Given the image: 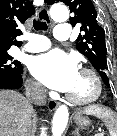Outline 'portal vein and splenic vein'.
Segmentation results:
<instances>
[{
    "label": "portal vein and splenic vein",
    "instance_id": "18ae733b",
    "mask_svg": "<svg viewBox=\"0 0 117 136\" xmlns=\"http://www.w3.org/2000/svg\"><path fill=\"white\" fill-rule=\"evenodd\" d=\"M103 134L101 133V132H99L98 134H97V136H102Z\"/></svg>",
    "mask_w": 117,
    "mask_h": 136
}]
</instances>
